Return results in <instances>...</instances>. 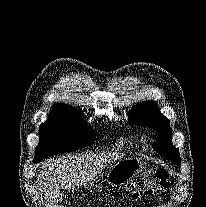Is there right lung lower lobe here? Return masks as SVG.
Segmentation results:
<instances>
[{"label":"right lung lower lobe","instance_id":"98d812e1","mask_svg":"<svg viewBox=\"0 0 206 207\" xmlns=\"http://www.w3.org/2000/svg\"><path fill=\"white\" fill-rule=\"evenodd\" d=\"M41 160H42V159H34L33 162H34V163H39V162H41Z\"/></svg>","mask_w":206,"mask_h":207}]
</instances>
